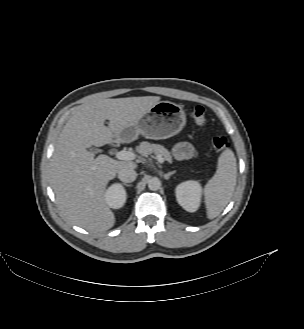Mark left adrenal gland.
I'll return each instance as SVG.
<instances>
[{"mask_svg":"<svg viewBox=\"0 0 304 329\" xmlns=\"http://www.w3.org/2000/svg\"><path fill=\"white\" fill-rule=\"evenodd\" d=\"M175 172H176V171H172V172H169V173L164 174L163 176H164V178H165L166 180H168V179L170 178L171 175L175 174Z\"/></svg>","mask_w":304,"mask_h":329,"instance_id":"a2214340","label":"left adrenal gland"}]
</instances>
